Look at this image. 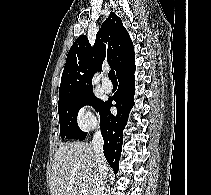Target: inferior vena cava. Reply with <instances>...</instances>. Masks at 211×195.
I'll list each match as a JSON object with an SVG mask.
<instances>
[{
  "label": "inferior vena cava",
  "mask_w": 211,
  "mask_h": 195,
  "mask_svg": "<svg viewBox=\"0 0 211 195\" xmlns=\"http://www.w3.org/2000/svg\"><path fill=\"white\" fill-rule=\"evenodd\" d=\"M103 144V137L100 131L97 130L92 139L95 161L97 164V173L95 175L93 195H104L108 166L103 153Z\"/></svg>",
  "instance_id": "obj_1"
}]
</instances>
